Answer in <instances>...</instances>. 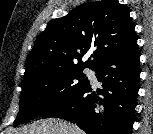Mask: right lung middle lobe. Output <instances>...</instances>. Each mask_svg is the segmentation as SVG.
Segmentation results:
<instances>
[{"label": "right lung middle lobe", "mask_w": 153, "mask_h": 134, "mask_svg": "<svg viewBox=\"0 0 153 134\" xmlns=\"http://www.w3.org/2000/svg\"><path fill=\"white\" fill-rule=\"evenodd\" d=\"M84 67L68 66L47 70L22 81L17 126L65 102L88 83Z\"/></svg>", "instance_id": "dd1d6c3e"}]
</instances>
